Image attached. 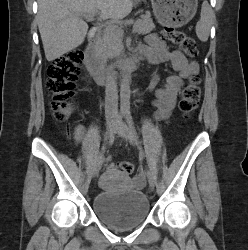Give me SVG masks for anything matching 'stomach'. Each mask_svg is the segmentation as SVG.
<instances>
[{
  "instance_id": "obj_1",
  "label": "stomach",
  "mask_w": 248,
  "mask_h": 250,
  "mask_svg": "<svg viewBox=\"0 0 248 250\" xmlns=\"http://www.w3.org/2000/svg\"><path fill=\"white\" fill-rule=\"evenodd\" d=\"M153 13L164 26L180 27L196 14L198 0H151Z\"/></svg>"
}]
</instances>
